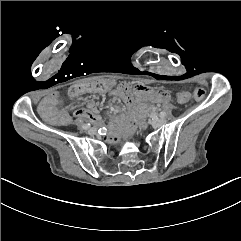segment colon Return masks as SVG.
<instances>
[{
	"mask_svg": "<svg viewBox=\"0 0 241 241\" xmlns=\"http://www.w3.org/2000/svg\"><path fill=\"white\" fill-rule=\"evenodd\" d=\"M109 84H105L104 79H81L80 84H70L69 95L71 98H79L81 93H109ZM193 95L197 99H201L205 95V90L202 88H196L193 91ZM173 98L179 100L181 103H188L190 101V94L177 90L173 93Z\"/></svg>",
	"mask_w": 241,
	"mask_h": 241,
	"instance_id": "colon-1",
	"label": "colon"
}]
</instances>
